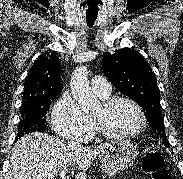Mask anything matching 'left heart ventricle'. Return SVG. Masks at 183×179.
Masks as SVG:
<instances>
[{
  "mask_svg": "<svg viewBox=\"0 0 183 179\" xmlns=\"http://www.w3.org/2000/svg\"><path fill=\"white\" fill-rule=\"evenodd\" d=\"M94 117L107 130L114 133L132 132L140 124V116L137 110L127 102H120L110 110H105L101 105L95 111Z\"/></svg>",
  "mask_w": 183,
  "mask_h": 179,
  "instance_id": "obj_1",
  "label": "left heart ventricle"
}]
</instances>
